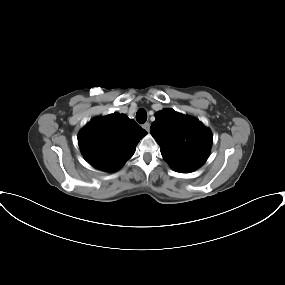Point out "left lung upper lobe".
Returning a JSON list of instances; mask_svg holds the SVG:
<instances>
[{"mask_svg": "<svg viewBox=\"0 0 285 285\" xmlns=\"http://www.w3.org/2000/svg\"><path fill=\"white\" fill-rule=\"evenodd\" d=\"M155 118L150 133L172 169L191 172L205 163L212 145V134L207 127L198 119L173 109H163Z\"/></svg>", "mask_w": 285, "mask_h": 285, "instance_id": "5c2ea615", "label": "left lung upper lobe"}]
</instances>
